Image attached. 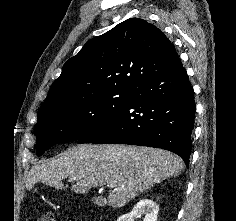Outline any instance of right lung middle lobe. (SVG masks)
<instances>
[{
    "mask_svg": "<svg viewBox=\"0 0 236 221\" xmlns=\"http://www.w3.org/2000/svg\"><path fill=\"white\" fill-rule=\"evenodd\" d=\"M131 95L129 89L107 91L41 108L35 126L37 155L54 144L81 139L120 109Z\"/></svg>",
    "mask_w": 236,
    "mask_h": 221,
    "instance_id": "dd1d6c3e",
    "label": "right lung middle lobe"
}]
</instances>
